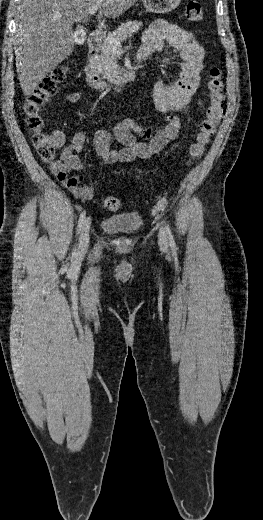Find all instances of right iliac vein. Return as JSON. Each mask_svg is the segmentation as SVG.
Here are the masks:
<instances>
[{
  "mask_svg": "<svg viewBox=\"0 0 263 520\" xmlns=\"http://www.w3.org/2000/svg\"><path fill=\"white\" fill-rule=\"evenodd\" d=\"M90 226H91V219L88 217V218H86V220L83 223V227H82L80 238H79L78 251H79V254H81V255L84 254L88 249L89 238H90L89 237Z\"/></svg>",
  "mask_w": 263,
  "mask_h": 520,
  "instance_id": "obj_1",
  "label": "right iliac vein"
}]
</instances>
